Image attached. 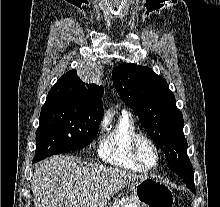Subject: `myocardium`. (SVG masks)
<instances>
[{"instance_id": "f54148a6", "label": "myocardium", "mask_w": 220, "mask_h": 207, "mask_svg": "<svg viewBox=\"0 0 220 207\" xmlns=\"http://www.w3.org/2000/svg\"><path fill=\"white\" fill-rule=\"evenodd\" d=\"M142 141L147 142L152 149L154 150L156 160L152 165H148L143 160L141 153H140V144ZM131 153L135 161L140 164L144 169L151 170L157 167V165L160 162V149L157 145V143L151 138L149 135L145 133H139L137 132L131 139L130 143Z\"/></svg>"}]
</instances>
